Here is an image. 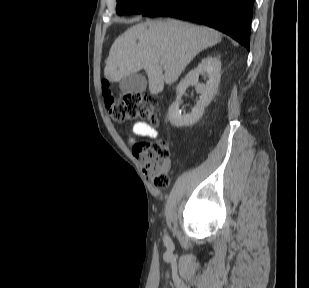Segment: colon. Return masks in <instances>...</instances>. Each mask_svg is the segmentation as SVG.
Returning a JSON list of instances; mask_svg holds the SVG:
<instances>
[{"label":"colon","instance_id":"5ec220e1","mask_svg":"<svg viewBox=\"0 0 309 288\" xmlns=\"http://www.w3.org/2000/svg\"><path fill=\"white\" fill-rule=\"evenodd\" d=\"M110 82L103 81L105 106L115 121L143 119L157 125L158 102L155 97L142 93H128L116 99L111 93ZM134 151L141 161L142 169L152 184L160 189L169 185L170 148L164 139L140 141L134 144Z\"/></svg>","mask_w":309,"mask_h":288}]
</instances>
